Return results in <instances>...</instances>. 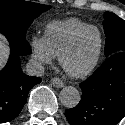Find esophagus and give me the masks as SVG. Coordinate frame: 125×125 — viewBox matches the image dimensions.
I'll return each instance as SVG.
<instances>
[{
    "mask_svg": "<svg viewBox=\"0 0 125 125\" xmlns=\"http://www.w3.org/2000/svg\"><path fill=\"white\" fill-rule=\"evenodd\" d=\"M51 83L54 87H57V88H61L64 86L63 81L57 77L52 78Z\"/></svg>",
    "mask_w": 125,
    "mask_h": 125,
    "instance_id": "1",
    "label": "esophagus"
}]
</instances>
